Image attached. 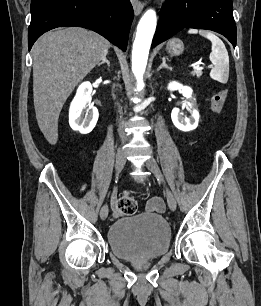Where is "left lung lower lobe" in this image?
<instances>
[{
  "label": "left lung lower lobe",
  "instance_id": "left-lung-lower-lobe-1",
  "mask_svg": "<svg viewBox=\"0 0 261 306\" xmlns=\"http://www.w3.org/2000/svg\"><path fill=\"white\" fill-rule=\"evenodd\" d=\"M232 0H167L152 46L169 39L185 28H199L224 35L235 47L236 24Z\"/></svg>",
  "mask_w": 261,
  "mask_h": 306
}]
</instances>
